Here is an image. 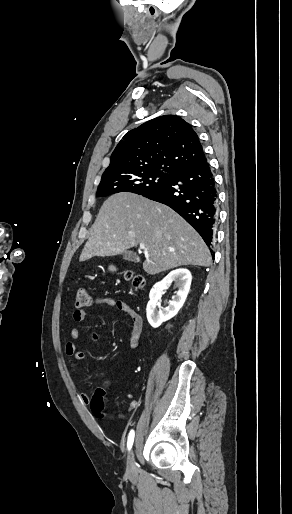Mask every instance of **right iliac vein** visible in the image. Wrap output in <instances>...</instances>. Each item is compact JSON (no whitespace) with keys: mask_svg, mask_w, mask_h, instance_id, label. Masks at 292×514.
I'll list each match as a JSON object with an SVG mask.
<instances>
[{"mask_svg":"<svg viewBox=\"0 0 292 514\" xmlns=\"http://www.w3.org/2000/svg\"><path fill=\"white\" fill-rule=\"evenodd\" d=\"M126 473L130 478L135 477V475L137 473L136 461H135L133 450L130 451L128 458H127Z\"/></svg>","mask_w":292,"mask_h":514,"instance_id":"1","label":"right iliac vein"}]
</instances>
